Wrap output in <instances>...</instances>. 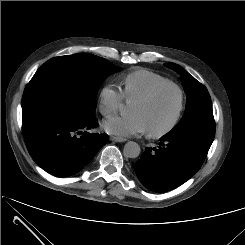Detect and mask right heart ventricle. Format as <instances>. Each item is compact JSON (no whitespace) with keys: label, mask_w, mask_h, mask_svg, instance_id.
Wrapping results in <instances>:
<instances>
[{"label":"right heart ventricle","mask_w":245,"mask_h":245,"mask_svg":"<svg viewBox=\"0 0 245 245\" xmlns=\"http://www.w3.org/2000/svg\"><path fill=\"white\" fill-rule=\"evenodd\" d=\"M122 96L127 101H132L152 88L172 83L167 77L148 69H136L122 77Z\"/></svg>","instance_id":"e07e8e85"}]
</instances>
